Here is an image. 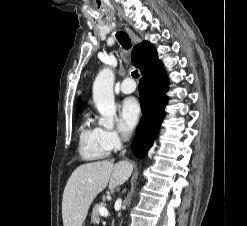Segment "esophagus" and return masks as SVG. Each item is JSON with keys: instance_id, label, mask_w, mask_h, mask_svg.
<instances>
[{"instance_id": "obj_1", "label": "esophagus", "mask_w": 247, "mask_h": 226, "mask_svg": "<svg viewBox=\"0 0 247 226\" xmlns=\"http://www.w3.org/2000/svg\"><path fill=\"white\" fill-rule=\"evenodd\" d=\"M127 31H128V33L130 34V36L132 37V39H133L134 41H136V40H137L136 35H135L129 28H127Z\"/></svg>"}]
</instances>
